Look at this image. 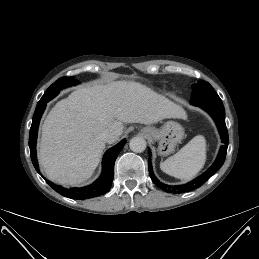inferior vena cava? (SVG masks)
<instances>
[{"label": "inferior vena cava", "mask_w": 259, "mask_h": 259, "mask_svg": "<svg viewBox=\"0 0 259 259\" xmlns=\"http://www.w3.org/2000/svg\"><path fill=\"white\" fill-rule=\"evenodd\" d=\"M98 138L107 142L108 139L110 138V132L108 130H105V131L101 132L100 134H98Z\"/></svg>", "instance_id": "inferior-vena-cava-1"}]
</instances>
